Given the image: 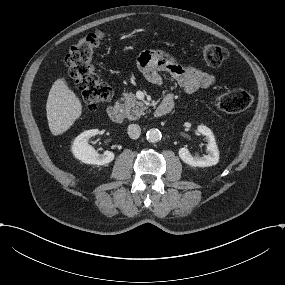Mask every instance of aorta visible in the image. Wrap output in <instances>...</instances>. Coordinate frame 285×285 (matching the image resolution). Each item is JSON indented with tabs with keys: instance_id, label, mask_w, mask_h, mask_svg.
I'll return each instance as SVG.
<instances>
[{
	"instance_id": "762f6f07",
	"label": "aorta",
	"mask_w": 285,
	"mask_h": 285,
	"mask_svg": "<svg viewBox=\"0 0 285 285\" xmlns=\"http://www.w3.org/2000/svg\"><path fill=\"white\" fill-rule=\"evenodd\" d=\"M147 140L151 143H156L161 140L162 134L160 130L152 128L146 133Z\"/></svg>"
}]
</instances>
